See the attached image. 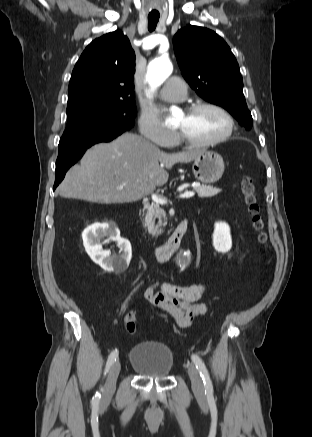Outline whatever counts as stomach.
<instances>
[{"mask_svg": "<svg viewBox=\"0 0 312 437\" xmlns=\"http://www.w3.org/2000/svg\"><path fill=\"white\" fill-rule=\"evenodd\" d=\"M224 161L221 155L213 151L203 150L194 160L192 171L196 179L210 184L218 181L224 172Z\"/></svg>", "mask_w": 312, "mask_h": 437, "instance_id": "obj_1", "label": "stomach"}]
</instances>
